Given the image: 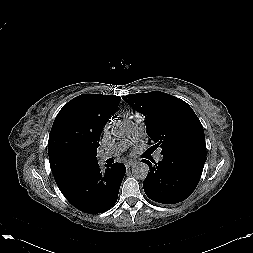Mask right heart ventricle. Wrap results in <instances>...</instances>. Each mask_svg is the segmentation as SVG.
I'll return each instance as SVG.
<instances>
[{"label":"right heart ventricle","instance_id":"1","mask_svg":"<svg viewBox=\"0 0 253 253\" xmlns=\"http://www.w3.org/2000/svg\"><path fill=\"white\" fill-rule=\"evenodd\" d=\"M128 116H133L131 113H127L126 114V117H128Z\"/></svg>","mask_w":253,"mask_h":253}]
</instances>
